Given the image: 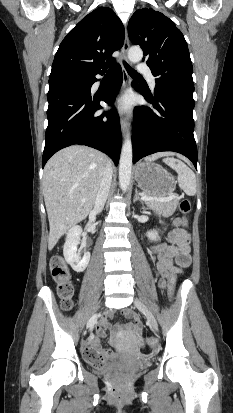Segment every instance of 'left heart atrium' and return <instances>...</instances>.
<instances>
[{"instance_id": "left-heart-atrium-1", "label": "left heart atrium", "mask_w": 233, "mask_h": 413, "mask_svg": "<svg viewBox=\"0 0 233 413\" xmlns=\"http://www.w3.org/2000/svg\"><path fill=\"white\" fill-rule=\"evenodd\" d=\"M131 105H132V97L129 94H125V95L118 97L114 102V106L120 111L130 110Z\"/></svg>"}]
</instances>
